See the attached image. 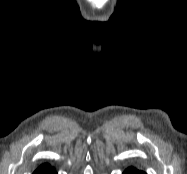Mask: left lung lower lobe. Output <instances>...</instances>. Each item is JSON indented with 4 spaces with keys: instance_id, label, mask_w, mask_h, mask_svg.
<instances>
[{
    "instance_id": "obj_1",
    "label": "left lung lower lobe",
    "mask_w": 187,
    "mask_h": 174,
    "mask_svg": "<svg viewBox=\"0 0 187 174\" xmlns=\"http://www.w3.org/2000/svg\"><path fill=\"white\" fill-rule=\"evenodd\" d=\"M123 174H146V173L143 171H139L133 167H130L127 170H125Z\"/></svg>"
}]
</instances>
